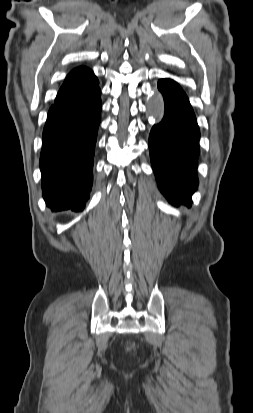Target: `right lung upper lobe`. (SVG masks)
<instances>
[{
	"mask_svg": "<svg viewBox=\"0 0 253 413\" xmlns=\"http://www.w3.org/2000/svg\"><path fill=\"white\" fill-rule=\"evenodd\" d=\"M98 84L94 73L87 67L81 66L73 69L66 77L61 86L55 103H60L72 99Z\"/></svg>",
	"mask_w": 253,
	"mask_h": 413,
	"instance_id": "cb5924a9",
	"label": "right lung upper lobe"
}]
</instances>
